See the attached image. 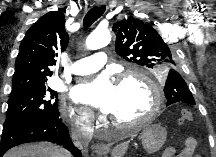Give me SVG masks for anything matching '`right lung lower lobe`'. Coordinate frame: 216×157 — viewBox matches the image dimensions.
<instances>
[{"instance_id": "1", "label": "right lung lower lobe", "mask_w": 216, "mask_h": 157, "mask_svg": "<svg viewBox=\"0 0 216 157\" xmlns=\"http://www.w3.org/2000/svg\"><path fill=\"white\" fill-rule=\"evenodd\" d=\"M35 141L63 144L74 157H81V152L73 145L67 127L59 117L34 120L3 131L0 143V157H3L4 153L14 146Z\"/></svg>"}]
</instances>
